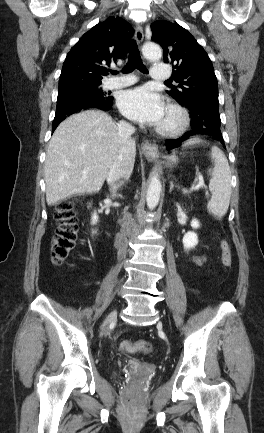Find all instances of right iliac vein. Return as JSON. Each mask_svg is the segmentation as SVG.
Instances as JSON below:
<instances>
[{
	"label": "right iliac vein",
	"mask_w": 264,
	"mask_h": 433,
	"mask_svg": "<svg viewBox=\"0 0 264 433\" xmlns=\"http://www.w3.org/2000/svg\"><path fill=\"white\" fill-rule=\"evenodd\" d=\"M115 318H116V310H113V311L109 314L107 320L105 321V323H104V325H103V328H102V332H103V333L107 331L109 323H110L111 321H113Z\"/></svg>",
	"instance_id": "obj_1"
}]
</instances>
